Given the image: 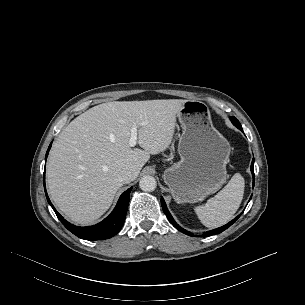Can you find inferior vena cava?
<instances>
[{"mask_svg": "<svg viewBox=\"0 0 305 305\" xmlns=\"http://www.w3.org/2000/svg\"><path fill=\"white\" fill-rule=\"evenodd\" d=\"M134 174L131 170H121L118 179L121 183L127 184L133 180Z\"/></svg>", "mask_w": 305, "mask_h": 305, "instance_id": "1", "label": "inferior vena cava"}]
</instances>
